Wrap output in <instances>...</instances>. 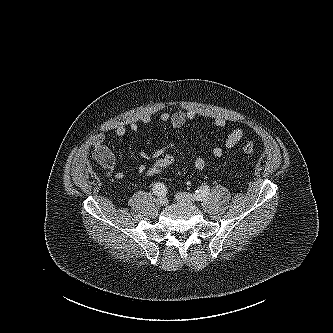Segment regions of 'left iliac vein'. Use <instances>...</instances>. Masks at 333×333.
Listing matches in <instances>:
<instances>
[{"instance_id":"left-iliac-vein-1","label":"left iliac vein","mask_w":333,"mask_h":333,"mask_svg":"<svg viewBox=\"0 0 333 333\" xmlns=\"http://www.w3.org/2000/svg\"><path fill=\"white\" fill-rule=\"evenodd\" d=\"M176 200L181 203L192 204L196 201V197L192 194L181 192L176 194Z\"/></svg>"}]
</instances>
